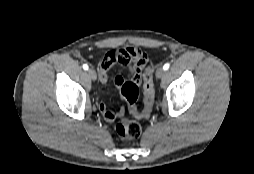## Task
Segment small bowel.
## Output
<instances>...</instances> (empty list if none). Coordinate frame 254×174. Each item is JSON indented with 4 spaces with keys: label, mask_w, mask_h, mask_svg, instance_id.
<instances>
[{
    "label": "small bowel",
    "mask_w": 254,
    "mask_h": 174,
    "mask_svg": "<svg viewBox=\"0 0 254 174\" xmlns=\"http://www.w3.org/2000/svg\"><path fill=\"white\" fill-rule=\"evenodd\" d=\"M147 54L137 47H128L120 50H114L106 53L99 64V80L106 83L108 79V71L113 65H123L129 67L131 80L139 83L141 73L147 64ZM114 83L118 89L121 88L125 79L122 76H116ZM99 110L103 117L112 120L115 116L114 111L109 109L105 103L99 105Z\"/></svg>",
    "instance_id": "c3829d8e"
}]
</instances>
